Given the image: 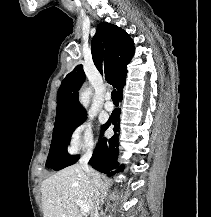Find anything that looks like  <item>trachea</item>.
Wrapping results in <instances>:
<instances>
[{"mask_svg":"<svg viewBox=\"0 0 211 217\" xmlns=\"http://www.w3.org/2000/svg\"><path fill=\"white\" fill-rule=\"evenodd\" d=\"M111 96H112L113 102H119V96L115 89L112 91Z\"/></svg>","mask_w":211,"mask_h":217,"instance_id":"obj_1","label":"trachea"}]
</instances>
